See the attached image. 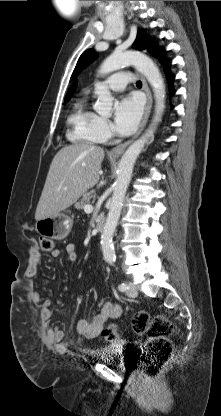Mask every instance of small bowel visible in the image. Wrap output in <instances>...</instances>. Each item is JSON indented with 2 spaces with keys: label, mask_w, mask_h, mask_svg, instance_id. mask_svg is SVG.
<instances>
[{
  "label": "small bowel",
  "mask_w": 221,
  "mask_h": 416,
  "mask_svg": "<svg viewBox=\"0 0 221 416\" xmlns=\"http://www.w3.org/2000/svg\"><path fill=\"white\" fill-rule=\"evenodd\" d=\"M66 253L70 262H75L77 260L78 254L75 244H67ZM51 255L56 258L61 255V252L58 249H54L51 252ZM41 261L42 257L40 252L38 250H34L31 253L30 264L27 270V274L29 277L35 276V274L37 273L38 265L41 263ZM46 282L49 281L46 280ZM35 302L41 305V314L44 320L50 321L53 315V310L51 308V300L42 299L39 294H35ZM121 312L122 309L119 304L112 301H106L103 303L100 313L97 316H95L91 321H88L86 319H80L77 322V333L82 338H95L100 334L105 323L110 319H117L118 317H120ZM51 334L53 339L57 343H63L65 341V334L62 330L52 329Z\"/></svg>",
  "instance_id": "obj_1"
}]
</instances>
